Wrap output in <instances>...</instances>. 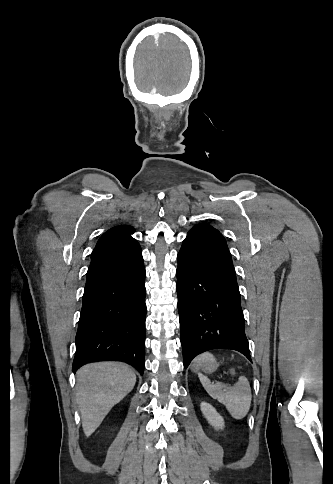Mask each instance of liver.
<instances>
[{
    "mask_svg": "<svg viewBox=\"0 0 333 484\" xmlns=\"http://www.w3.org/2000/svg\"><path fill=\"white\" fill-rule=\"evenodd\" d=\"M135 382L134 372L119 362L91 363L77 371L76 400L87 437L99 427L108 412L132 391Z\"/></svg>",
    "mask_w": 333,
    "mask_h": 484,
    "instance_id": "1",
    "label": "liver"
}]
</instances>
